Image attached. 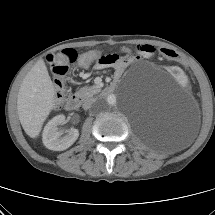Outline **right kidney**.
Returning <instances> with one entry per match:
<instances>
[{
  "label": "right kidney",
  "instance_id": "right-kidney-1",
  "mask_svg": "<svg viewBox=\"0 0 215 215\" xmlns=\"http://www.w3.org/2000/svg\"><path fill=\"white\" fill-rule=\"evenodd\" d=\"M65 122V116L57 115L44 127L42 141L46 148L54 151H63L69 148L79 137V131L71 128L65 136L58 126Z\"/></svg>",
  "mask_w": 215,
  "mask_h": 215
}]
</instances>
